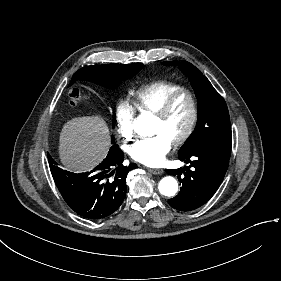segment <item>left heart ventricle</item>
Returning a JSON list of instances; mask_svg holds the SVG:
<instances>
[{
  "mask_svg": "<svg viewBox=\"0 0 281 281\" xmlns=\"http://www.w3.org/2000/svg\"><path fill=\"white\" fill-rule=\"evenodd\" d=\"M190 119V104L187 98L178 99L171 107L167 116L156 119L150 116V136L164 134L172 140L180 136L186 129Z\"/></svg>",
  "mask_w": 281,
  "mask_h": 281,
  "instance_id": "1",
  "label": "left heart ventricle"
}]
</instances>
